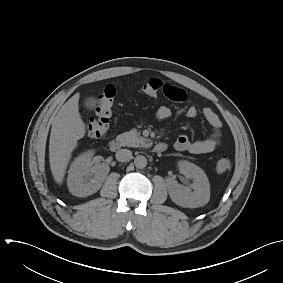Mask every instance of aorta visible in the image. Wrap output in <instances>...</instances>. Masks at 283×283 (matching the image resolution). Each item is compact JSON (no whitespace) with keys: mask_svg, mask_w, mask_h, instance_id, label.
<instances>
[{"mask_svg":"<svg viewBox=\"0 0 283 283\" xmlns=\"http://www.w3.org/2000/svg\"><path fill=\"white\" fill-rule=\"evenodd\" d=\"M134 164L137 168L143 169L147 166V159L145 156L139 155L134 159Z\"/></svg>","mask_w":283,"mask_h":283,"instance_id":"obj_1","label":"aorta"}]
</instances>
